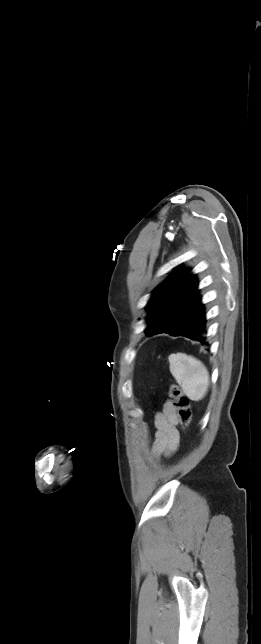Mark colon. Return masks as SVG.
Returning <instances> with one entry per match:
<instances>
[{
  "label": "colon",
  "instance_id": "1",
  "mask_svg": "<svg viewBox=\"0 0 261 644\" xmlns=\"http://www.w3.org/2000/svg\"><path fill=\"white\" fill-rule=\"evenodd\" d=\"M170 396L174 401L178 422L182 429H187L191 423L192 411L189 398L183 393L177 384L170 386Z\"/></svg>",
  "mask_w": 261,
  "mask_h": 644
}]
</instances>
